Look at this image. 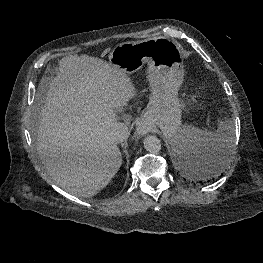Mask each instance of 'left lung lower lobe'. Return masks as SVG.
Returning <instances> with one entry per match:
<instances>
[{
  "instance_id": "1",
  "label": "left lung lower lobe",
  "mask_w": 263,
  "mask_h": 263,
  "mask_svg": "<svg viewBox=\"0 0 263 263\" xmlns=\"http://www.w3.org/2000/svg\"><path fill=\"white\" fill-rule=\"evenodd\" d=\"M176 167L181 176L196 182H204L215 175L221 165L224 151L221 146L209 145L195 153H186L176 150Z\"/></svg>"
}]
</instances>
